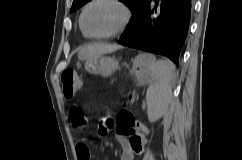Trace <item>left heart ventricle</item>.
I'll list each match as a JSON object with an SVG mask.
<instances>
[{
  "label": "left heart ventricle",
  "instance_id": "b2bd125f",
  "mask_svg": "<svg viewBox=\"0 0 242 160\" xmlns=\"http://www.w3.org/2000/svg\"><path fill=\"white\" fill-rule=\"evenodd\" d=\"M122 21V10L110 2H99L92 5L84 17L87 30L93 34L109 33L117 29Z\"/></svg>",
  "mask_w": 242,
  "mask_h": 160
}]
</instances>
